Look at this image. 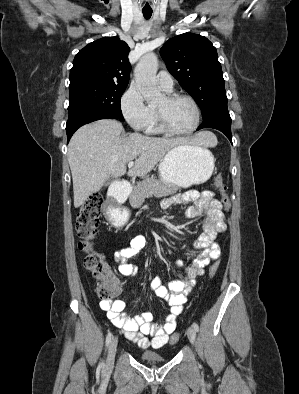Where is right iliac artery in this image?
Segmentation results:
<instances>
[{"label":"right iliac artery","instance_id":"right-iliac-artery-1","mask_svg":"<svg viewBox=\"0 0 299 394\" xmlns=\"http://www.w3.org/2000/svg\"><path fill=\"white\" fill-rule=\"evenodd\" d=\"M111 337H112V334H111V332H109L108 335H107V337H106V346H107V347H108V345H109V343H110V341H111ZM99 367H100V368H104V362H101L100 365H99Z\"/></svg>","mask_w":299,"mask_h":394}]
</instances>
